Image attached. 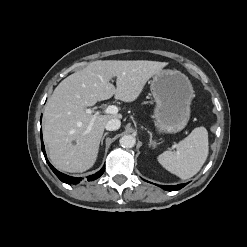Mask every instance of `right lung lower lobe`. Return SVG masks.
I'll return each mask as SVG.
<instances>
[{
	"instance_id": "right-lung-lower-lobe-1",
	"label": "right lung lower lobe",
	"mask_w": 247,
	"mask_h": 247,
	"mask_svg": "<svg viewBox=\"0 0 247 247\" xmlns=\"http://www.w3.org/2000/svg\"><path fill=\"white\" fill-rule=\"evenodd\" d=\"M41 145H42V151H43V154L45 156V159L48 163V165L50 166V168L52 169V171L56 174V176L64 183H67V184H73V183H78L81 178H76V177H71V176H68V175H65L59 171H57L51 164L50 162L48 161L47 157H46V153H45V148H44V143H43V139H42V133H41ZM105 170V167H103L99 172L93 174V175H90L87 177V180L88 181H93L97 178H99L103 172Z\"/></svg>"
}]
</instances>
